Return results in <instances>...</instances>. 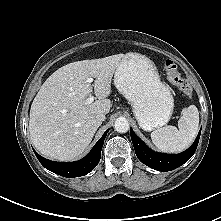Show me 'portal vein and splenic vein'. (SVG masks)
Here are the masks:
<instances>
[{
    "label": "portal vein and splenic vein",
    "instance_id": "portal-vein-and-splenic-vein-1",
    "mask_svg": "<svg viewBox=\"0 0 221 221\" xmlns=\"http://www.w3.org/2000/svg\"><path fill=\"white\" fill-rule=\"evenodd\" d=\"M87 82L88 83H92L93 82V78H88L87 79ZM95 97L94 96H89L87 99H86V104H91L93 101H94Z\"/></svg>",
    "mask_w": 221,
    "mask_h": 221
}]
</instances>
